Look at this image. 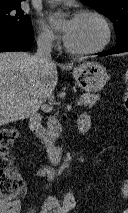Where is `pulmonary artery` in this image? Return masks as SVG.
Instances as JSON below:
<instances>
[{
    "label": "pulmonary artery",
    "mask_w": 128,
    "mask_h": 213,
    "mask_svg": "<svg viewBox=\"0 0 128 213\" xmlns=\"http://www.w3.org/2000/svg\"><path fill=\"white\" fill-rule=\"evenodd\" d=\"M49 1H59V0H49Z\"/></svg>",
    "instance_id": "pulmonary-artery-1"
}]
</instances>
